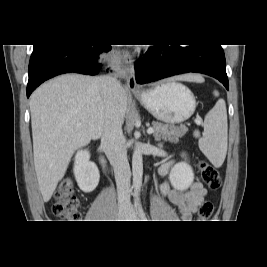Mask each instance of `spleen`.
Here are the masks:
<instances>
[{"label": "spleen", "instance_id": "obj_1", "mask_svg": "<svg viewBox=\"0 0 267 267\" xmlns=\"http://www.w3.org/2000/svg\"><path fill=\"white\" fill-rule=\"evenodd\" d=\"M219 96L218 91H214ZM227 111L223 99H219L204 119L203 136L199 139V148L209 161L220 167L227 153Z\"/></svg>", "mask_w": 267, "mask_h": 267}]
</instances>
